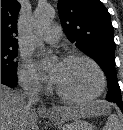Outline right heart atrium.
<instances>
[{"mask_svg":"<svg viewBox=\"0 0 123 130\" xmlns=\"http://www.w3.org/2000/svg\"><path fill=\"white\" fill-rule=\"evenodd\" d=\"M18 76L21 86L31 93H42L46 90V79L38 72L29 58H24L19 66Z\"/></svg>","mask_w":123,"mask_h":130,"instance_id":"d8ad5b80","label":"right heart atrium"}]
</instances>
